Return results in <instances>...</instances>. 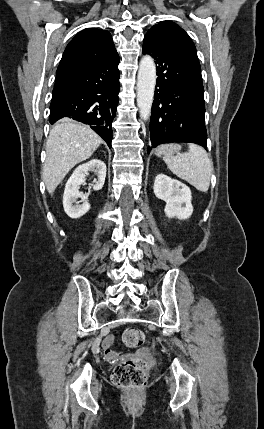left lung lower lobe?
Returning a JSON list of instances; mask_svg holds the SVG:
<instances>
[{"label": "left lung lower lobe", "mask_w": 264, "mask_h": 429, "mask_svg": "<svg viewBox=\"0 0 264 429\" xmlns=\"http://www.w3.org/2000/svg\"><path fill=\"white\" fill-rule=\"evenodd\" d=\"M142 52L153 56L158 76L147 151L170 142H192L207 149L201 68L192 53L157 32H147Z\"/></svg>", "instance_id": "1"}]
</instances>
